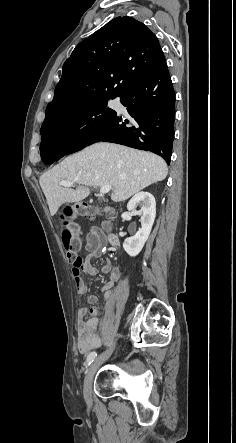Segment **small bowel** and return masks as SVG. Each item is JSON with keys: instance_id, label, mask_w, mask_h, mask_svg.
I'll use <instances>...</instances> for the list:
<instances>
[{"instance_id": "c3829d8e", "label": "small bowel", "mask_w": 236, "mask_h": 443, "mask_svg": "<svg viewBox=\"0 0 236 443\" xmlns=\"http://www.w3.org/2000/svg\"><path fill=\"white\" fill-rule=\"evenodd\" d=\"M106 239L101 231L96 228L89 229L86 236V249L88 256L83 262L80 269L72 268V273L75 279L77 292L79 294H85L88 291V285L82 277V273L96 276L99 274V270L95 267L91 260L93 258L102 257L105 253ZM110 271V281L105 283L102 287V291L105 292V298L110 300L114 297V288L116 282L121 276V272L118 268L112 267L108 259L105 261V265L101 269L102 273ZM99 302V298L95 295L88 296V307H82L79 310V325L77 335V349L80 353H87L100 345L101 336L98 329L99 310L95 305ZM91 316L89 319H85L86 316Z\"/></svg>"}]
</instances>
